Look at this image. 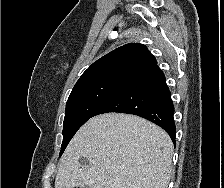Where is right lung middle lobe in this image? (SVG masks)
Returning a JSON list of instances; mask_svg holds the SVG:
<instances>
[{
	"label": "right lung middle lobe",
	"mask_w": 224,
	"mask_h": 188,
	"mask_svg": "<svg viewBox=\"0 0 224 188\" xmlns=\"http://www.w3.org/2000/svg\"><path fill=\"white\" fill-rule=\"evenodd\" d=\"M132 79L103 78L76 84L67 100L60 156L77 130Z\"/></svg>",
	"instance_id": "1"
}]
</instances>
